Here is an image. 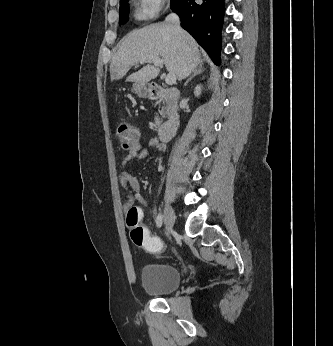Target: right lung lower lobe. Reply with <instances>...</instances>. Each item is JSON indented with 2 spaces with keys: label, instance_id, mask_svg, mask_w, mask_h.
<instances>
[{
  "label": "right lung lower lobe",
  "instance_id": "obj_1",
  "mask_svg": "<svg viewBox=\"0 0 333 346\" xmlns=\"http://www.w3.org/2000/svg\"><path fill=\"white\" fill-rule=\"evenodd\" d=\"M171 8L180 16L181 26L219 65L221 30L226 10L224 0H173Z\"/></svg>",
  "mask_w": 333,
  "mask_h": 346
}]
</instances>
